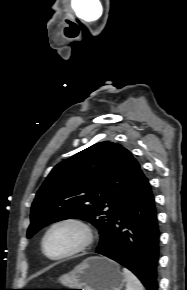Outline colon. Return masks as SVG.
I'll list each match as a JSON object with an SVG mask.
<instances>
[{
	"instance_id": "obj_1",
	"label": "colon",
	"mask_w": 187,
	"mask_h": 290,
	"mask_svg": "<svg viewBox=\"0 0 187 290\" xmlns=\"http://www.w3.org/2000/svg\"><path fill=\"white\" fill-rule=\"evenodd\" d=\"M28 290H72V289L56 288V289H28Z\"/></svg>"
}]
</instances>
